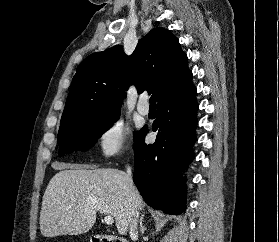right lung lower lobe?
<instances>
[{"label": "right lung lower lobe", "instance_id": "98d812e1", "mask_svg": "<svg viewBox=\"0 0 279 242\" xmlns=\"http://www.w3.org/2000/svg\"><path fill=\"white\" fill-rule=\"evenodd\" d=\"M196 88L157 104L153 131H159L156 142H144L147 127L135 135V171L133 181L143 199L151 207L168 214L185 210L186 179L181 171L194 159L196 141Z\"/></svg>", "mask_w": 279, "mask_h": 242}]
</instances>
